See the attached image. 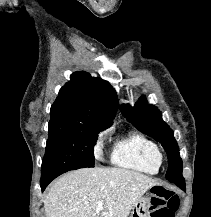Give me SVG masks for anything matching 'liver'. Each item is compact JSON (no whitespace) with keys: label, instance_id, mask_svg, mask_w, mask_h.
<instances>
[{"label":"liver","instance_id":"obj_1","mask_svg":"<svg viewBox=\"0 0 211 217\" xmlns=\"http://www.w3.org/2000/svg\"><path fill=\"white\" fill-rule=\"evenodd\" d=\"M159 183L123 168H82L64 174L44 199L46 217H128L143 194ZM99 201L103 208L97 211Z\"/></svg>","mask_w":211,"mask_h":217}]
</instances>
